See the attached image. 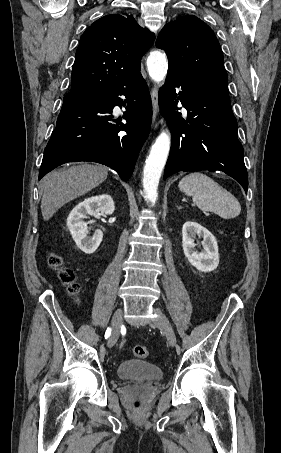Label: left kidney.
<instances>
[{
	"mask_svg": "<svg viewBox=\"0 0 281 453\" xmlns=\"http://www.w3.org/2000/svg\"><path fill=\"white\" fill-rule=\"evenodd\" d=\"M203 237L202 245L204 247L201 253H198L194 243V237ZM182 247L185 257H187L189 263L196 267L198 271L208 273V271H214L219 265V253L217 241L202 224L193 222V220H187L184 222L182 229Z\"/></svg>",
	"mask_w": 281,
	"mask_h": 453,
	"instance_id": "1",
	"label": "left kidney"
}]
</instances>
